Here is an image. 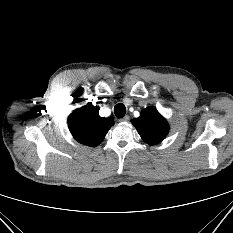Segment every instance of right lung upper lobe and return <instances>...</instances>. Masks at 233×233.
<instances>
[{"label":"right lung upper lobe","instance_id":"cb5924a9","mask_svg":"<svg viewBox=\"0 0 233 233\" xmlns=\"http://www.w3.org/2000/svg\"><path fill=\"white\" fill-rule=\"evenodd\" d=\"M111 118L99 116V108L88 103L76 109L68 118V126L73 137L81 144L95 147L102 142L110 127Z\"/></svg>","mask_w":233,"mask_h":233}]
</instances>
